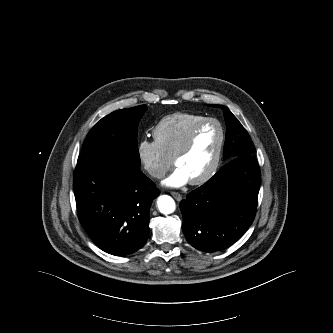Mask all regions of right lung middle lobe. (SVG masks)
<instances>
[{
    "instance_id": "dd1d6c3e",
    "label": "right lung middle lobe",
    "mask_w": 333,
    "mask_h": 333,
    "mask_svg": "<svg viewBox=\"0 0 333 333\" xmlns=\"http://www.w3.org/2000/svg\"><path fill=\"white\" fill-rule=\"evenodd\" d=\"M145 111L146 106L140 105L112 112L102 118L87 135L81 155L112 153L140 166L137 127Z\"/></svg>"
}]
</instances>
